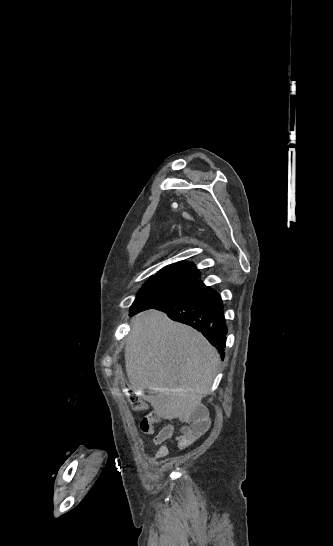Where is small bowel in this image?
Wrapping results in <instances>:
<instances>
[{
    "label": "small bowel",
    "mask_w": 333,
    "mask_h": 546,
    "mask_svg": "<svg viewBox=\"0 0 333 546\" xmlns=\"http://www.w3.org/2000/svg\"><path fill=\"white\" fill-rule=\"evenodd\" d=\"M155 422H161L164 415L155 414ZM185 425L178 434L174 433L172 426H165L153 438V445L159 446L154 454V460L163 458L169 450V442L173 441L179 449H184L199 439L209 427V421L205 418H184Z\"/></svg>",
    "instance_id": "small-bowel-1"
}]
</instances>
